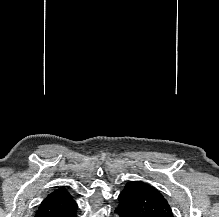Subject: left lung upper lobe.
Segmentation results:
<instances>
[{"label": "left lung upper lobe", "instance_id": "5c2ea615", "mask_svg": "<svg viewBox=\"0 0 219 217\" xmlns=\"http://www.w3.org/2000/svg\"><path fill=\"white\" fill-rule=\"evenodd\" d=\"M118 199L128 217H174L164 196L142 181L127 183Z\"/></svg>", "mask_w": 219, "mask_h": 217}]
</instances>
